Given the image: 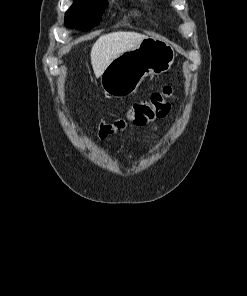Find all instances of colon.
<instances>
[{
    "instance_id": "1",
    "label": "colon",
    "mask_w": 247,
    "mask_h": 296,
    "mask_svg": "<svg viewBox=\"0 0 247 296\" xmlns=\"http://www.w3.org/2000/svg\"><path fill=\"white\" fill-rule=\"evenodd\" d=\"M174 100V89L172 86L167 85L147 99L133 103L128 108L124 119L120 118L113 122L101 123L97 128V134L99 138L104 139L121 130L126 122L134 125H145L155 119L163 118L169 113Z\"/></svg>"
}]
</instances>
